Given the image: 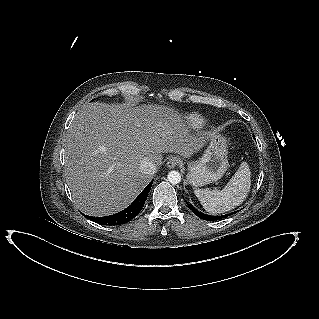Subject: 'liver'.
<instances>
[{
  "mask_svg": "<svg viewBox=\"0 0 319 319\" xmlns=\"http://www.w3.org/2000/svg\"><path fill=\"white\" fill-rule=\"evenodd\" d=\"M181 114L164 105L92 103L72 120L64 139L65 175L76 206L86 215L125 209L152 179L140 170L162 153L189 157L199 147Z\"/></svg>",
  "mask_w": 319,
  "mask_h": 319,
  "instance_id": "6515ba94",
  "label": "liver"
}]
</instances>
